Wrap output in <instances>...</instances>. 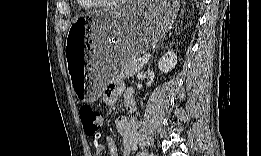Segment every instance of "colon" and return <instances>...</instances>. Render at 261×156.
Instances as JSON below:
<instances>
[{"label":"colon","instance_id":"5ec220e1","mask_svg":"<svg viewBox=\"0 0 261 156\" xmlns=\"http://www.w3.org/2000/svg\"><path fill=\"white\" fill-rule=\"evenodd\" d=\"M79 115L86 135L96 138L102 123L101 113L90 105H83L79 109Z\"/></svg>","mask_w":261,"mask_h":156}]
</instances>
